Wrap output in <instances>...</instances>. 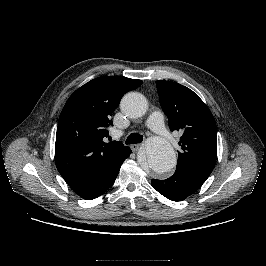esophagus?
Instances as JSON below:
<instances>
[{"mask_svg": "<svg viewBox=\"0 0 266 266\" xmlns=\"http://www.w3.org/2000/svg\"><path fill=\"white\" fill-rule=\"evenodd\" d=\"M140 146H141V144H132L130 147H131L133 152H136Z\"/></svg>", "mask_w": 266, "mask_h": 266, "instance_id": "esophagus-1", "label": "esophagus"}]
</instances>
